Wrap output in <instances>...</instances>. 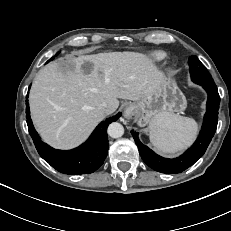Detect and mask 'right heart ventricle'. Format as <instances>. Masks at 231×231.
<instances>
[{
  "label": "right heart ventricle",
  "instance_id": "right-heart-ventricle-1",
  "mask_svg": "<svg viewBox=\"0 0 231 231\" xmlns=\"http://www.w3.org/2000/svg\"><path fill=\"white\" fill-rule=\"evenodd\" d=\"M166 56L165 52L156 50L149 54L148 60L152 64H160L166 59Z\"/></svg>",
  "mask_w": 231,
  "mask_h": 231
}]
</instances>
